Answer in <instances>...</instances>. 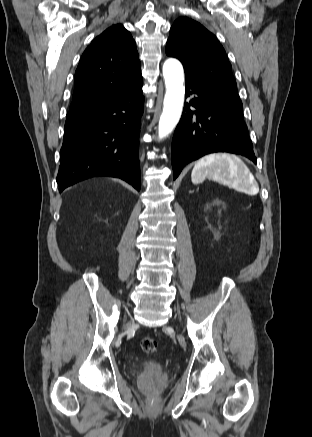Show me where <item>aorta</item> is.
Wrapping results in <instances>:
<instances>
[{"label": "aorta", "mask_w": 312, "mask_h": 437, "mask_svg": "<svg viewBox=\"0 0 312 437\" xmlns=\"http://www.w3.org/2000/svg\"><path fill=\"white\" fill-rule=\"evenodd\" d=\"M163 76L166 85L163 112L159 120V139L170 134L181 117L184 103V72L181 63L173 58L163 65Z\"/></svg>", "instance_id": "1"}]
</instances>
